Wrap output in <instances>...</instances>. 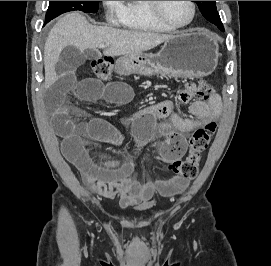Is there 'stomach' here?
<instances>
[{
  "mask_svg": "<svg viewBox=\"0 0 271 266\" xmlns=\"http://www.w3.org/2000/svg\"><path fill=\"white\" fill-rule=\"evenodd\" d=\"M217 40L204 31H187L164 42L157 54L135 53L117 61L120 71L148 75L200 78L210 75L218 64Z\"/></svg>",
  "mask_w": 271,
  "mask_h": 266,
  "instance_id": "stomach-1",
  "label": "stomach"
}]
</instances>
